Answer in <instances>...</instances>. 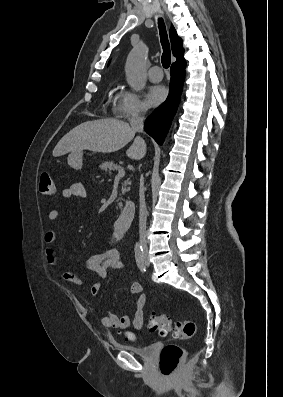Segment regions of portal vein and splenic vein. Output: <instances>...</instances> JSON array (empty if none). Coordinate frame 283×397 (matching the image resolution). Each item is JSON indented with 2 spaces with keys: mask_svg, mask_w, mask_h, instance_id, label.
<instances>
[{
  "mask_svg": "<svg viewBox=\"0 0 283 397\" xmlns=\"http://www.w3.org/2000/svg\"><path fill=\"white\" fill-rule=\"evenodd\" d=\"M125 175V171L123 168L118 170V174L115 176V180H119L120 178H122Z\"/></svg>",
  "mask_w": 283,
  "mask_h": 397,
  "instance_id": "portal-vein-and-splenic-vein-1",
  "label": "portal vein and splenic vein"
}]
</instances>
